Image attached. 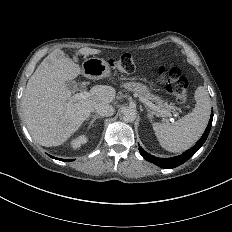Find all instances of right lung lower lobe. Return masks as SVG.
I'll list each match as a JSON object with an SVG mask.
<instances>
[{"label": "right lung lower lobe", "instance_id": "98d812e1", "mask_svg": "<svg viewBox=\"0 0 232 232\" xmlns=\"http://www.w3.org/2000/svg\"><path fill=\"white\" fill-rule=\"evenodd\" d=\"M56 159H58V158H56ZM61 161H71L70 159L69 160H66V159H60Z\"/></svg>", "mask_w": 232, "mask_h": 232}]
</instances>
